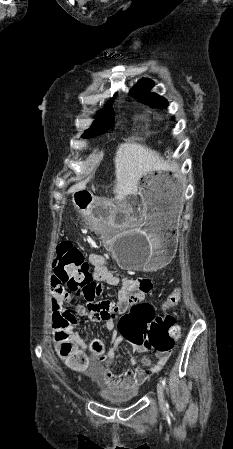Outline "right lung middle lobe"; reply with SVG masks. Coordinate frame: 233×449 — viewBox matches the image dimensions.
Wrapping results in <instances>:
<instances>
[{"label":"right lung middle lobe","instance_id":"1","mask_svg":"<svg viewBox=\"0 0 233 449\" xmlns=\"http://www.w3.org/2000/svg\"><path fill=\"white\" fill-rule=\"evenodd\" d=\"M113 101L109 102V105H112ZM101 115L98 117L92 124L90 130L85 132L82 137L89 138L94 137L108 131L114 124V115L111 107H107L106 109L100 111Z\"/></svg>","mask_w":233,"mask_h":449}]
</instances>
